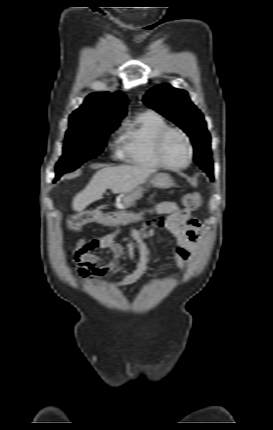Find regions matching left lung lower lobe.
<instances>
[{
  "label": "left lung lower lobe",
  "mask_w": 273,
  "mask_h": 430,
  "mask_svg": "<svg viewBox=\"0 0 273 430\" xmlns=\"http://www.w3.org/2000/svg\"><path fill=\"white\" fill-rule=\"evenodd\" d=\"M200 168L208 174V176L210 177L211 180H214V176L212 173V163L200 166Z\"/></svg>",
  "instance_id": "left-lung-lower-lobe-1"
}]
</instances>
